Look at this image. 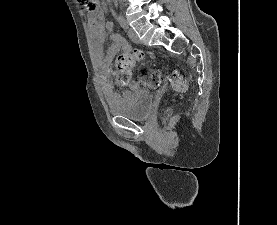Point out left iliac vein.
Masks as SVG:
<instances>
[{"label": "left iliac vein", "mask_w": 277, "mask_h": 225, "mask_svg": "<svg viewBox=\"0 0 277 225\" xmlns=\"http://www.w3.org/2000/svg\"><path fill=\"white\" fill-rule=\"evenodd\" d=\"M129 38L134 42V43H140V40L136 34V32L133 29H129L127 32Z\"/></svg>", "instance_id": "left-iliac-vein-1"}]
</instances>
